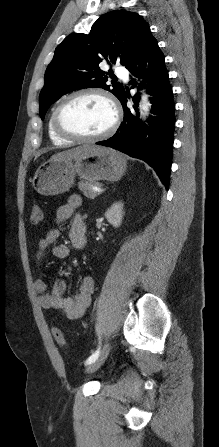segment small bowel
Masks as SVG:
<instances>
[{
    "label": "small bowel",
    "instance_id": "c3829d8e",
    "mask_svg": "<svg viewBox=\"0 0 219 447\" xmlns=\"http://www.w3.org/2000/svg\"><path fill=\"white\" fill-rule=\"evenodd\" d=\"M81 205L82 198L76 194L71 195L67 203L57 209L55 221L58 224L65 223ZM72 233L76 239V248L82 249L84 246V226L80 217L74 219ZM60 234L61 231L54 228L39 239L37 251V262L39 264L44 257L45 250L50 247L56 258H68L69 247L66 244L56 243ZM34 288L38 294V302L43 308L59 310L69 319H79L85 314L90 305L94 290V278L90 275L84 276L81 279L78 290L72 297L63 296L64 281L62 279H58L55 282L51 292H47V285L40 279L34 281Z\"/></svg>",
    "mask_w": 219,
    "mask_h": 447
}]
</instances>
